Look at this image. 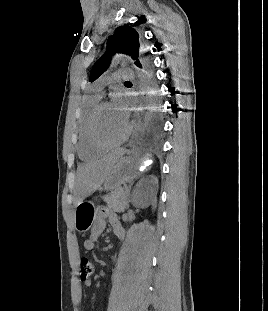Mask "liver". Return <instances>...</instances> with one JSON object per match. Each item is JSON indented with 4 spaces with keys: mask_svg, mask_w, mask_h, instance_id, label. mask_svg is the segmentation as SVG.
<instances>
[{
    "mask_svg": "<svg viewBox=\"0 0 268 311\" xmlns=\"http://www.w3.org/2000/svg\"><path fill=\"white\" fill-rule=\"evenodd\" d=\"M123 154H125V150L119 149L78 169L75 188L76 205L101 187L114 164Z\"/></svg>",
    "mask_w": 268,
    "mask_h": 311,
    "instance_id": "liver-1",
    "label": "liver"
}]
</instances>
